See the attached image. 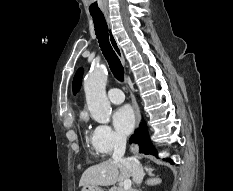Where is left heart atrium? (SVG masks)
I'll return each instance as SVG.
<instances>
[{
	"instance_id": "39dd6f15",
	"label": "left heart atrium",
	"mask_w": 233,
	"mask_h": 191,
	"mask_svg": "<svg viewBox=\"0 0 233 191\" xmlns=\"http://www.w3.org/2000/svg\"><path fill=\"white\" fill-rule=\"evenodd\" d=\"M113 124L121 135H128L135 126V115L128 105L118 108L113 114Z\"/></svg>"
}]
</instances>
